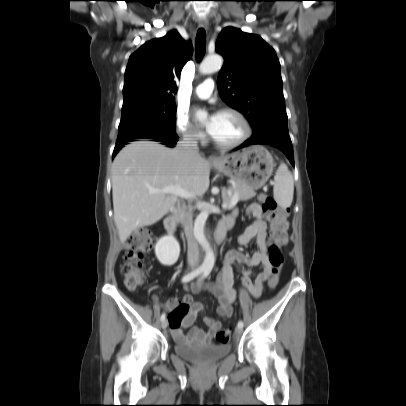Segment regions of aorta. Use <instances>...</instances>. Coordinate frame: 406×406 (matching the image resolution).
<instances>
[{
	"instance_id": "aorta-1",
	"label": "aorta",
	"mask_w": 406,
	"mask_h": 406,
	"mask_svg": "<svg viewBox=\"0 0 406 406\" xmlns=\"http://www.w3.org/2000/svg\"><path fill=\"white\" fill-rule=\"evenodd\" d=\"M223 65V59L220 55L207 56L200 66V72L202 74H211L221 69ZM197 117L204 121L207 118L206 112H198ZM209 215L208 210H203L196 218L194 223V236L198 243L205 250V259L202 263V268L205 270H211L214 266L215 256L209 242L204 234V226Z\"/></svg>"
}]
</instances>
